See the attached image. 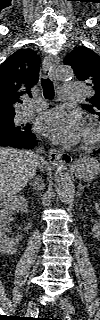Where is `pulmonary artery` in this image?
I'll return each mask as SVG.
<instances>
[{"label":"pulmonary artery","instance_id":"pulmonary-artery-1","mask_svg":"<svg viewBox=\"0 0 100 320\" xmlns=\"http://www.w3.org/2000/svg\"><path fill=\"white\" fill-rule=\"evenodd\" d=\"M82 90V86L79 83H67L60 88V100L73 101L77 98ZM47 106L45 101L36 100L27 103L24 108V115H31L37 113Z\"/></svg>","mask_w":100,"mask_h":320}]
</instances>
